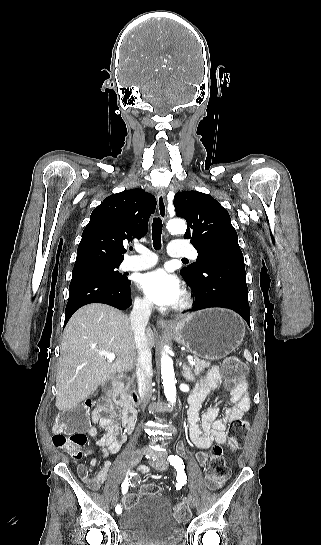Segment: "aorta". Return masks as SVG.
Wrapping results in <instances>:
<instances>
[{
	"instance_id": "obj_1",
	"label": "aorta",
	"mask_w": 321,
	"mask_h": 545,
	"mask_svg": "<svg viewBox=\"0 0 321 545\" xmlns=\"http://www.w3.org/2000/svg\"><path fill=\"white\" fill-rule=\"evenodd\" d=\"M167 229L172 234H184L186 231V225L181 219H172L168 221ZM167 350L168 348H166V351ZM161 375L163 379L162 384L164 387L165 396L167 400L173 404L176 401V380L173 361L166 354H163L161 358Z\"/></svg>"
}]
</instances>
